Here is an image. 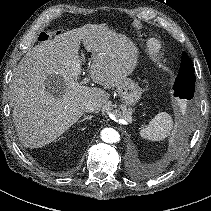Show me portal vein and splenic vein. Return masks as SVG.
Segmentation results:
<instances>
[{
  "label": "portal vein and splenic vein",
  "mask_w": 211,
  "mask_h": 211,
  "mask_svg": "<svg viewBox=\"0 0 211 211\" xmlns=\"http://www.w3.org/2000/svg\"><path fill=\"white\" fill-rule=\"evenodd\" d=\"M89 80L90 79L86 77L85 79H83V81L81 82V84H86V83L89 82ZM109 116H110L111 119H113L116 122L121 121V120H117L116 117L112 113H110Z\"/></svg>",
  "instance_id": "portal-vein-and-splenic-vein-1"
}]
</instances>
